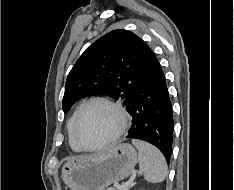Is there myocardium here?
I'll list each match as a JSON object with an SVG mask.
<instances>
[{
  "label": "myocardium",
  "instance_id": "1",
  "mask_svg": "<svg viewBox=\"0 0 234 190\" xmlns=\"http://www.w3.org/2000/svg\"><path fill=\"white\" fill-rule=\"evenodd\" d=\"M95 104H102V105L109 107L111 110H113L118 118L119 125H118L116 132L108 140H106V141H104L96 146H86L79 141V139L77 137V129H78L79 122H80L83 114L85 113V111L90 106L95 105ZM127 125H128V119H127L126 112L119 103H117V102H115L107 97H93V98L87 100L79 108V110L76 114L74 123H73V127H72V139L78 145L80 150H83V151L101 150L103 148L108 147L109 145L114 143L116 140H118L121 137V135L125 132Z\"/></svg>",
  "mask_w": 234,
  "mask_h": 190
}]
</instances>
